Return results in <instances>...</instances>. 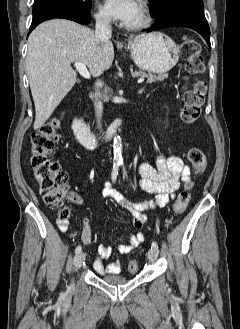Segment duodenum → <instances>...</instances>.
I'll list each match as a JSON object with an SVG mask.
<instances>
[{"mask_svg": "<svg viewBox=\"0 0 240 329\" xmlns=\"http://www.w3.org/2000/svg\"><path fill=\"white\" fill-rule=\"evenodd\" d=\"M122 123L123 121L121 119L113 122L105 131L104 138L107 140L112 139L121 128ZM71 129L77 141L82 145L91 147L94 144V140L97 134L90 130L78 115L73 117L71 122Z\"/></svg>", "mask_w": 240, "mask_h": 329, "instance_id": "obj_1", "label": "duodenum"}]
</instances>
